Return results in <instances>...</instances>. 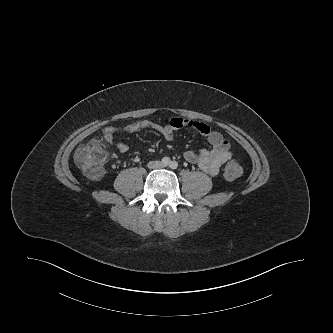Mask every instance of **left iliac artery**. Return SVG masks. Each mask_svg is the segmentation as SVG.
<instances>
[{
    "label": "left iliac artery",
    "instance_id": "obj_1",
    "mask_svg": "<svg viewBox=\"0 0 333 333\" xmlns=\"http://www.w3.org/2000/svg\"><path fill=\"white\" fill-rule=\"evenodd\" d=\"M177 167H178V163H177L176 161H172V162L170 163V168H171V169H177Z\"/></svg>",
    "mask_w": 333,
    "mask_h": 333
}]
</instances>
